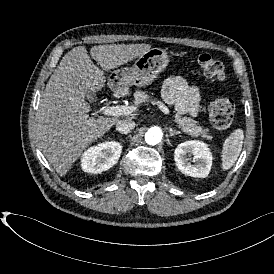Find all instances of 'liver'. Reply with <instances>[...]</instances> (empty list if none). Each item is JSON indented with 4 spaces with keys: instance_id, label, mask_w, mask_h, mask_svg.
Instances as JSON below:
<instances>
[{
    "instance_id": "6515ba94",
    "label": "liver",
    "mask_w": 274,
    "mask_h": 274,
    "mask_svg": "<svg viewBox=\"0 0 274 274\" xmlns=\"http://www.w3.org/2000/svg\"><path fill=\"white\" fill-rule=\"evenodd\" d=\"M151 48L149 44L77 46L64 55L46 84L36 112L39 147L58 174L65 175L83 151L104 136L119 119L89 117V93L105 86L104 71L127 63Z\"/></svg>"
}]
</instances>
